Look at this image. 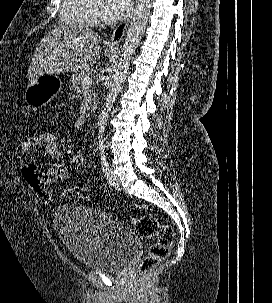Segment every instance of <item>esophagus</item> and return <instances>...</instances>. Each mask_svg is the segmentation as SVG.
Returning <instances> with one entry per match:
<instances>
[{"mask_svg":"<svg viewBox=\"0 0 272 303\" xmlns=\"http://www.w3.org/2000/svg\"><path fill=\"white\" fill-rule=\"evenodd\" d=\"M130 19H127L123 23H120L114 30L112 35L110 36L109 39L105 42V45L107 47H118L119 44L121 43L125 32L127 30L128 24H129Z\"/></svg>","mask_w":272,"mask_h":303,"instance_id":"1","label":"esophagus"}]
</instances>
